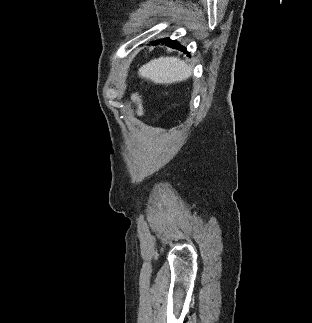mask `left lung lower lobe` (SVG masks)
Segmentation results:
<instances>
[{
	"mask_svg": "<svg viewBox=\"0 0 312 323\" xmlns=\"http://www.w3.org/2000/svg\"><path fill=\"white\" fill-rule=\"evenodd\" d=\"M156 43H165L167 45H169L170 47L174 48V49H178L182 52H186V48L181 46L177 41L175 40H171L169 38H164V39H160V40H157Z\"/></svg>",
	"mask_w": 312,
	"mask_h": 323,
	"instance_id": "obj_1",
	"label": "left lung lower lobe"
}]
</instances>
